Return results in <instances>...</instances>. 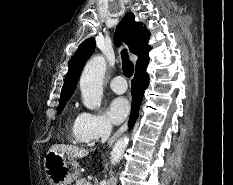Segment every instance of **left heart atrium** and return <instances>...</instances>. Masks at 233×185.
<instances>
[{
	"mask_svg": "<svg viewBox=\"0 0 233 185\" xmlns=\"http://www.w3.org/2000/svg\"><path fill=\"white\" fill-rule=\"evenodd\" d=\"M129 108V103L125 98H114L107 109L109 120L114 124L121 123L127 117Z\"/></svg>",
	"mask_w": 233,
	"mask_h": 185,
	"instance_id": "obj_1",
	"label": "left heart atrium"
}]
</instances>
